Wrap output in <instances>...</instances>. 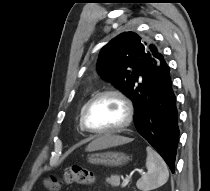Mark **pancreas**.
I'll return each instance as SVG.
<instances>
[{
	"label": "pancreas",
	"mask_w": 210,
	"mask_h": 191,
	"mask_svg": "<svg viewBox=\"0 0 210 191\" xmlns=\"http://www.w3.org/2000/svg\"><path fill=\"white\" fill-rule=\"evenodd\" d=\"M106 182L111 184L112 186H118L120 184L119 176H111L110 178H106Z\"/></svg>",
	"instance_id": "pancreas-1"
}]
</instances>
